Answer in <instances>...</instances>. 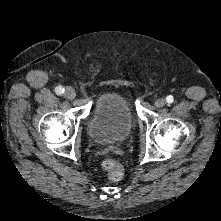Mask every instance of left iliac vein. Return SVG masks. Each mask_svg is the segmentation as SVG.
<instances>
[{
    "mask_svg": "<svg viewBox=\"0 0 221 221\" xmlns=\"http://www.w3.org/2000/svg\"><path fill=\"white\" fill-rule=\"evenodd\" d=\"M165 104H166V100L164 98H159L155 102V106L159 108L165 106Z\"/></svg>",
    "mask_w": 221,
    "mask_h": 221,
    "instance_id": "left-iliac-vein-1",
    "label": "left iliac vein"
}]
</instances>
